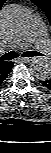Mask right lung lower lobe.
Masks as SVG:
<instances>
[{
	"mask_svg": "<svg viewBox=\"0 0 51 153\" xmlns=\"http://www.w3.org/2000/svg\"><path fill=\"white\" fill-rule=\"evenodd\" d=\"M13 67V63L9 62V65L7 67V69H5V73H3L0 77V84L1 82H3L5 80V78L7 77V75L10 73L11 69Z\"/></svg>",
	"mask_w": 51,
	"mask_h": 153,
	"instance_id": "obj_1",
	"label": "right lung lower lobe"
}]
</instances>
